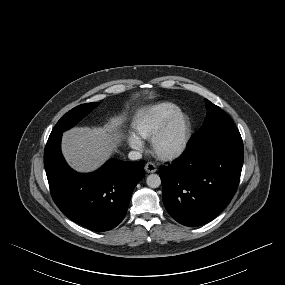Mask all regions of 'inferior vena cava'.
<instances>
[{
	"label": "inferior vena cava",
	"mask_w": 285,
	"mask_h": 285,
	"mask_svg": "<svg viewBox=\"0 0 285 285\" xmlns=\"http://www.w3.org/2000/svg\"><path fill=\"white\" fill-rule=\"evenodd\" d=\"M128 158L130 160H133V161L139 160V159L142 158V154L140 152H138V151H130L129 154H128Z\"/></svg>",
	"instance_id": "inferior-vena-cava-1"
}]
</instances>
